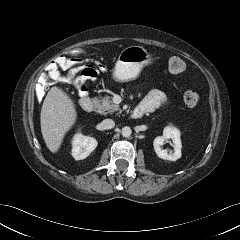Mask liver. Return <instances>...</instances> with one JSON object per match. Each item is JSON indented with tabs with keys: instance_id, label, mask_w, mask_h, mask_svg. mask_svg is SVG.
<instances>
[{
	"instance_id": "1",
	"label": "liver",
	"mask_w": 240,
	"mask_h": 240,
	"mask_svg": "<svg viewBox=\"0 0 240 240\" xmlns=\"http://www.w3.org/2000/svg\"><path fill=\"white\" fill-rule=\"evenodd\" d=\"M76 120L73 100L61 88L53 86L44 99L40 114L42 136L52 153L60 149L66 133Z\"/></svg>"
}]
</instances>
